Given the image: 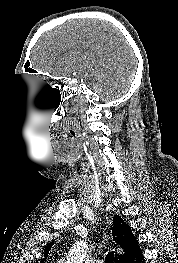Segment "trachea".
Here are the masks:
<instances>
[{
    "mask_svg": "<svg viewBox=\"0 0 178 263\" xmlns=\"http://www.w3.org/2000/svg\"><path fill=\"white\" fill-rule=\"evenodd\" d=\"M105 263H114V252H109L105 257Z\"/></svg>",
    "mask_w": 178,
    "mask_h": 263,
    "instance_id": "obj_1",
    "label": "trachea"
}]
</instances>
